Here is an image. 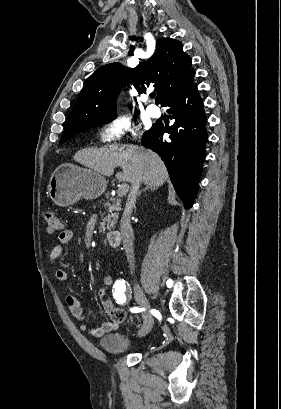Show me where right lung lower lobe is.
Returning a JSON list of instances; mask_svg holds the SVG:
<instances>
[{
	"label": "right lung lower lobe",
	"mask_w": 281,
	"mask_h": 409,
	"mask_svg": "<svg viewBox=\"0 0 281 409\" xmlns=\"http://www.w3.org/2000/svg\"><path fill=\"white\" fill-rule=\"evenodd\" d=\"M195 72L162 106L169 107L174 123H157L144 133L142 143L157 152L165 162L178 196L189 209L196 195L207 141L206 115L203 102L193 82ZM168 133L167 139H163Z\"/></svg>",
	"instance_id": "right-lung-lower-lobe-1"
}]
</instances>
